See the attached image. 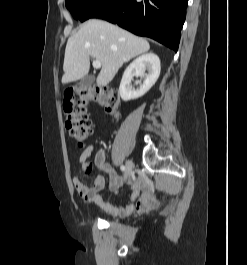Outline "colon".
I'll list each match as a JSON object with an SVG mask.
<instances>
[{
	"label": "colon",
	"mask_w": 247,
	"mask_h": 265,
	"mask_svg": "<svg viewBox=\"0 0 247 265\" xmlns=\"http://www.w3.org/2000/svg\"><path fill=\"white\" fill-rule=\"evenodd\" d=\"M89 102L98 104L113 116L119 115V95L114 89L85 87L66 91L63 102L66 128L80 147L85 145L92 133V123L87 113Z\"/></svg>",
	"instance_id": "5ec220e1"
}]
</instances>
